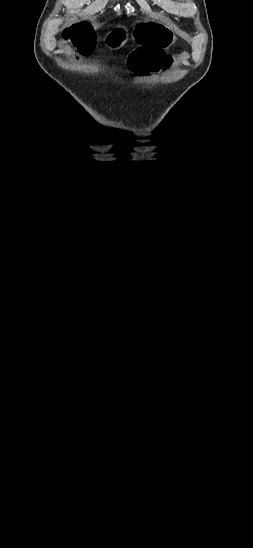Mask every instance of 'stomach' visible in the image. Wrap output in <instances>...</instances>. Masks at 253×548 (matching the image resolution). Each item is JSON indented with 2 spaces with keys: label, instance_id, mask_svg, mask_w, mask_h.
<instances>
[{
  "label": "stomach",
  "instance_id": "0dacf381",
  "mask_svg": "<svg viewBox=\"0 0 253 548\" xmlns=\"http://www.w3.org/2000/svg\"><path fill=\"white\" fill-rule=\"evenodd\" d=\"M133 39L142 44L161 43L162 46L167 47L174 42L175 36L170 29L161 23L148 21L136 25ZM127 40V29L122 25H118L106 34L104 44L109 49H119L125 45Z\"/></svg>",
  "mask_w": 253,
  "mask_h": 548
}]
</instances>
